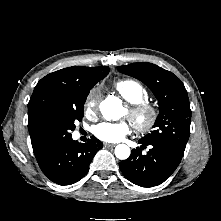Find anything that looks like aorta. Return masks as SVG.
Masks as SVG:
<instances>
[{
	"label": "aorta",
	"mask_w": 221,
	"mask_h": 221,
	"mask_svg": "<svg viewBox=\"0 0 221 221\" xmlns=\"http://www.w3.org/2000/svg\"><path fill=\"white\" fill-rule=\"evenodd\" d=\"M100 112L106 120H117L121 118L123 112L122 102L117 97H107L100 103ZM130 148L125 144L115 147V155L120 160H125L130 156Z\"/></svg>",
	"instance_id": "762f6f07"
}]
</instances>
